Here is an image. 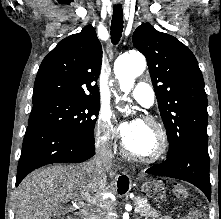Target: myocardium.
Segmentation results:
<instances>
[{
    "label": "myocardium",
    "mask_w": 221,
    "mask_h": 219,
    "mask_svg": "<svg viewBox=\"0 0 221 219\" xmlns=\"http://www.w3.org/2000/svg\"><path fill=\"white\" fill-rule=\"evenodd\" d=\"M141 122L153 128L157 133L158 145H157L155 152L148 156L138 155L136 153L131 152L128 149L125 141H122L121 143V151L126 157L132 160L145 163V164L156 163L160 161L161 159H163L165 155L167 154L168 147H169L167 132L162 124H160L158 121L150 117H142Z\"/></svg>",
    "instance_id": "myocardium-1"
}]
</instances>
